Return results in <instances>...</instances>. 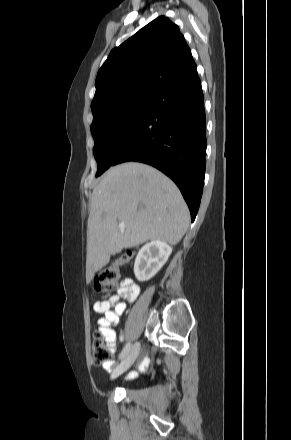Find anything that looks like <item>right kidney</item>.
<instances>
[{"instance_id": "ca27d5eb", "label": "right kidney", "mask_w": 291, "mask_h": 440, "mask_svg": "<svg viewBox=\"0 0 291 440\" xmlns=\"http://www.w3.org/2000/svg\"><path fill=\"white\" fill-rule=\"evenodd\" d=\"M172 248L163 241L154 240L146 243L138 252L134 273L139 281L151 279L166 263Z\"/></svg>"}]
</instances>
